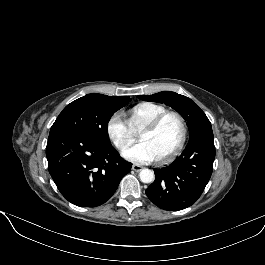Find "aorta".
Segmentation results:
<instances>
[{
    "mask_svg": "<svg viewBox=\"0 0 265 265\" xmlns=\"http://www.w3.org/2000/svg\"><path fill=\"white\" fill-rule=\"evenodd\" d=\"M139 177L143 183H151L154 180V172L150 169H142Z\"/></svg>",
    "mask_w": 265,
    "mask_h": 265,
    "instance_id": "obj_1",
    "label": "aorta"
}]
</instances>
